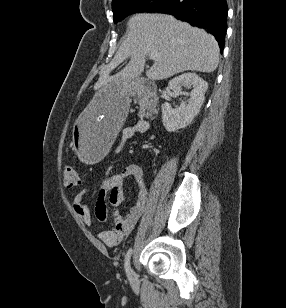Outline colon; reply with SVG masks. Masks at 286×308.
<instances>
[{
	"instance_id": "1",
	"label": "colon",
	"mask_w": 286,
	"mask_h": 308,
	"mask_svg": "<svg viewBox=\"0 0 286 308\" xmlns=\"http://www.w3.org/2000/svg\"><path fill=\"white\" fill-rule=\"evenodd\" d=\"M63 182L67 187H76L81 183L78 172L73 167H66L63 170Z\"/></svg>"
}]
</instances>
